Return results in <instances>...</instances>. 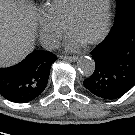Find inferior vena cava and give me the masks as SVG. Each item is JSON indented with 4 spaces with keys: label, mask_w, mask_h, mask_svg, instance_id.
<instances>
[{
    "label": "inferior vena cava",
    "mask_w": 135,
    "mask_h": 135,
    "mask_svg": "<svg viewBox=\"0 0 135 135\" xmlns=\"http://www.w3.org/2000/svg\"><path fill=\"white\" fill-rule=\"evenodd\" d=\"M42 47L46 50L58 49L60 47L59 40L53 35H45L41 38Z\"/></svg>",
    "instance_id": "1"
}]
</instances>
